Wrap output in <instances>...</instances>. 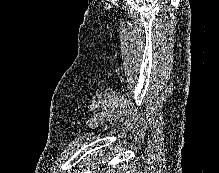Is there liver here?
Returning <instances> with one entry per match:
<instances>
[{"mask_svg":"<svg viewBox=\"0 0 219 173\" xmlns=\"http://www.w3.org/2000/svg\"><path fill=\"white\" fill-rule=\"evenodd\" d=\"M95 154H96V156L100 155L101 151H97ZM105 160L108 161V165L103 169V172L101 171V173H124L121 170L122 166L117 167V165L113 162L114 160L111 159V156H109L108 159H105ZM124 169H125V167H124ZM127 173H130V172H127ZM131 173H134V172H131Z\"/></svg>","mask_w":219,"mask_h":173,"instance_id":"obj_1","label":"liver"}]
</instances>
